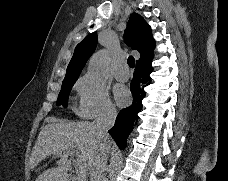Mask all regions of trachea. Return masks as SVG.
<instances>
[{
    "label": "trachea",
    "instance_id": "obj_1",
    "mask_svg": "<svg viewBox=\"0 0 228 181\" xmlns=\"http://www.w3.org/2000/svg\"><path fill=\"white\" fill-rule=\"evenodd\" d=\"M127 63L129 65L130 68H134L135 66V59L133 56H129L128 60H127Z\"/></svg>",
    "mask_w": 228,
    "mask_h": 181
}]
</instances>
